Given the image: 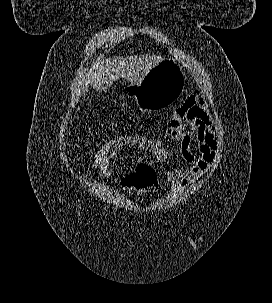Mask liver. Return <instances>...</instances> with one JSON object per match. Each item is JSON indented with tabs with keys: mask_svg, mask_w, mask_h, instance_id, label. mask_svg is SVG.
Here are the masks:
<instances>
[{
	"mask_svg": "<svg viewBox=\"0 0 272 303\" xmlns=\"http://www.w3.org/2000/svg\"><path fill=\"white\" fill-rule=\"evenodd\" d=\"M163 58L158 55H142L116 58L100 57L90 69L89 83L97 91H105L119 78L131 83L139 82L159 64Z\"/></svg>",
	"mask_w": 272,
	"mask_h": 303,
	"instance_id": "6515ba94",
	"label": "liver"
}]
</instances>
